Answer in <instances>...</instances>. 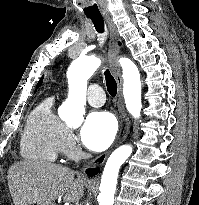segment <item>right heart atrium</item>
I'll list each match as a JSON object with an SVG mask.
<instances>
[{"label": "right heart atrium", "mask_w": 199, "mask_h": 205, "mask_svg": "<svg viewBox=\"0 0 199 205\" xmlns=\"http://www.w3.org/2000/svg\"><path fill=\"white\" fill-rule=\"evenodd\" d=\"M62 151L70 156L74 155L76 152V140L74 134L69 130H66L64 135Z\"/></svg>", "instance_id": "right-heart-atrium-1"}]
</instances>
